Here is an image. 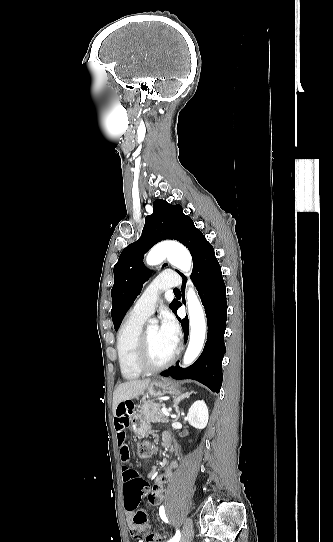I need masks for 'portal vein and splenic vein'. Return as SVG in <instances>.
<instances>
[{"instance_id": "portal-vein-and-splenic-vein-1", "label": "portal vein and splenic vein", "mask_w": 333, "mask_h": 542, "mask_svg": "<svg viewBox=\"0 0 333 542\" xmlns=\"http://www.w3.org/2000/svg\"><path fill=\"white\" fill-rule=\"evenodd\" d=\"M161 412L162 414H165V416H170V412L167 410V408H161Z\"/></svg>"}]
</instances>
